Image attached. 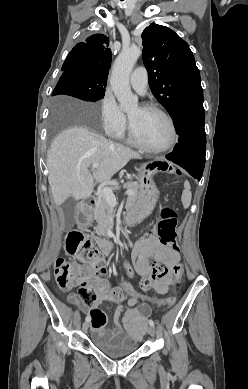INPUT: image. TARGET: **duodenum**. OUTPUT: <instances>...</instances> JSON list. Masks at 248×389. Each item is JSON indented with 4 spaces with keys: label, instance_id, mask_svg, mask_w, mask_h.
Wrapping results in <instances>:
<instances>
[{
    "label": "duodenum",
    "instance_id": "duodenum-1",
    "mask_svg": "<svg viewBox=\"0 0 248 389\" xmlns=\"http://www.w3.org/2000/svg\"><path fill=\"white\" fill-rule=\"evenodd\" d=\"M97 201L94 197H89L85 205L81 206L77 212L78 222L82 227H87L89 224L90 214L96 207ZM102 251L106 256H110L116 248L115 244L102 242Z\"/></svg>",
    "mask_w": 248,
    "mask_h": 389
}]
</instances>
